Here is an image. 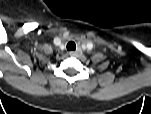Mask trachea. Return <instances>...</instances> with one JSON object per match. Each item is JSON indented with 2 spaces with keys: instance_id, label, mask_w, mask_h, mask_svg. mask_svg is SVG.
<instances>
[{
  "instance_id": "trachea-1",
  "label": "trachea",
  "mask_w": 151,
  "mask_h": 114,
  "mask_svg": "<svg viewBox=\"0 0 151 114\" xmlns=\"http://www.w3.org/2000/svg\"><path fill=\"white\" fill-rule=\"evenodd\" d=\"M67 50H68V51H74V50H76V44H75L73 41H70V42L67 44Z\"/></svg>"
}]
</instances>
